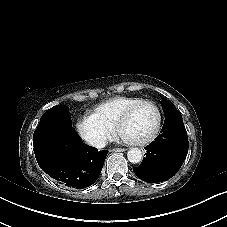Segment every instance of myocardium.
Masks as SVG:
<instances>
[{"mask_svg":"<svg viewBox=\"0 0 227 227\" xmlns=\"http://www.w3.org/2000/svg\"><path fill=\"white\" fill-rule=\"evenodd\" d=\"M142 106H149L155 112V124H154L152 131L147 136L140 138L141 142H147V141H151L153 138H155L156 134L159 131L160 123H161V114H160L159 107L152 101L143 100V101L137 103L136 105H134L131 109H129L126 112V114L122 117V119L117 127V130L119 132L123 131L126 127V124L130 120L132 115L135 113V111H137Z\"/></svg>","mask_w":227,"mask_h":227,"instance_id":"1","label":"myocardium"}]
</instances>
